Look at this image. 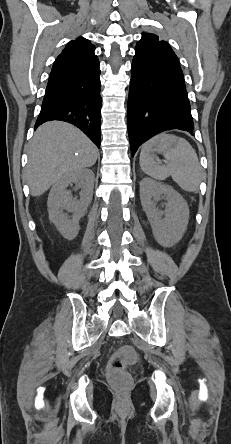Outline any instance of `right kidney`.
Returning <instances> with one entry per match:
<instances>
[{
    "mask_svg": "<svg viewBox=\"0 0 231 444\" xmlns=\"http://www.w3.org/2000/svg\"><path fill=\"white\" fill-rule=\"evenodd\" d=\"M94 178L92 170L81 169L64 175L50 190L48 196L49 219L67 239L75 238L79 232V220L92 200ZM71 183L82 188L80 200L74 199L71 192L66 190ZM63 210L71 212L72 219H69Z\"/></svg>",
    "mask_w": 231,
    "mask_h": 444,
    "instance_id": "obj_1",
    "label": "right kidney"
}]
</instances>
